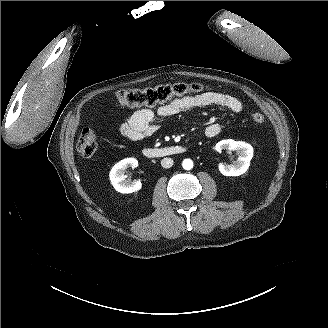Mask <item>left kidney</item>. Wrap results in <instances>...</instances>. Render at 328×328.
Returning a JSON list of instances; mask_svg holds the SVG:
<instances>
[{"instance_id":"1","label":"left kidney","mask_w":328,"mask_h":328,"mask_svg":"<svg viewBox=\"0 0 328 328\" xmlns=\"http://www.w3.org/2000/svg\"><path fill=\"white\" fill-rule=\"evenodd\" d=\"M215 149L217 152H221L225 149L227 151H236L238 154V159L234 164L219 165V171L222 175L238 177L248 171L253 157V147L250 144L227 139L218 142Z\"/></svg>"}]
</instances>
